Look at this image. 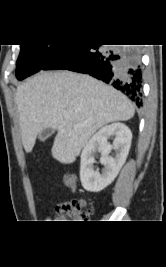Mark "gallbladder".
Wrapping results in <instances>:
<instances>
[{
	"instance_id": "gallbladder-1",
	"label": "gallbladder",
	"mask_w": 166,
	"mask_h": 267,
	"mask_svg": "<svg viewBox=\"0 0 166 267\" xmlns=\"http://www.w3.org/2000/svg\"><path fill=\"white\" fill-rule=\"evenodd\" d=\"M54 133V129L48 127L43 129L39 134V140L44 142L47 138H49Z\"/></svg>"
}]
</instances>
